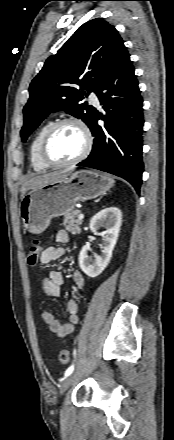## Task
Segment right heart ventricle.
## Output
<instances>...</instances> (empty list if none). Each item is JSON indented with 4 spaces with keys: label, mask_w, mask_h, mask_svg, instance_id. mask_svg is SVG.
Returning <instances> with one entry per match:
<instances>
[{
    "label": "right heart ventricle",
    "mask_w": 174,
    "mask_h": 440,
    "mask_svg": "<svg viewBox=\"0 0 174 440\" xmlns=\"http://www.w3.org/2000/svg\"><path fill=\"white\" fill-rule=\"evenodd\" d=\"M53 124L52 121H47L43 125H41L35 134L33 135L30 144H29V160L31 167L36 172H44L50 168V166L46 165L40 156V147L43 140V137L49 127Z\"/></svg>",
    "instance_id": "e07e8e85"
}]
</instances>
